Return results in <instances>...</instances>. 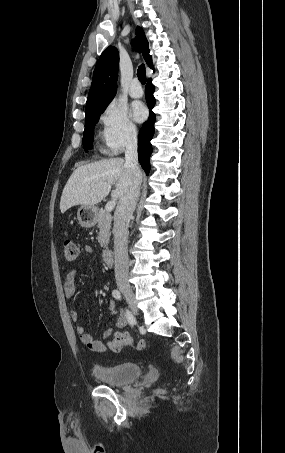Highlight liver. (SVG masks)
<instances>
[{"label": "liver", "mask_w": 285, "mask_h": 453, "mask_svg": "<svg viewBox=\"0 0 285 453\" xmlns=\"http://www.w3.org/2000/svg\"><path fill=\"white\" fill-rule=\"evenodd\" d=\"M133 171L122 158L104 159L77 167L68 179L61 196L60 211L76 205L94 207L111 192L113 200L123 198L133 182Z\"/></svg>", "instance_id": "6515ba94"}]
</instances>
